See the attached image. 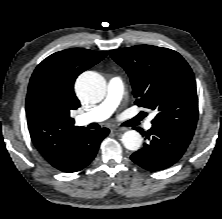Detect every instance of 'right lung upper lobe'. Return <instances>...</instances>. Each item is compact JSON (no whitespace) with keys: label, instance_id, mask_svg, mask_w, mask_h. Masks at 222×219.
I'll use <instances>...</instances> for the list:
<instances>
[{"label":"right lung upper lobe","instance_id":"right-lung-upper-lobe-1","mask_svg":"<svg viewBox=\"0 0 222 219\" xmlns=\"http://www.w3.org/2000/svg\"><path fill=\"white\" fill-rule=\"evenodd\" d=\"M107 54L83 48L59 51L44 59L32 74L26 98L30 137L53 167L63 161L75 141L87 131L74 126L70 117V112L80 107L74 82Z\"/></svg>","mask_w":222,"mask_h":219}]
</instances>
